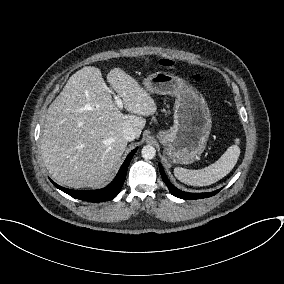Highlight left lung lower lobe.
Listing matches in <instances>:
<instances>
[{"label":"left lung lower lobe","instance_id":"left-lung-lower-lobe-1","mask_svg":"<svg viewBox=\"0 0 284 284\" xmlns=\"http://www.w3.org/2000/svg\"><path fill=\"white\" fill-rule=\"evenodd\" d=\"M159 170H160L163 181L167 185V187H168L169 191L172 193V195H174L178 198H181V199L193 200V199L207 198V197H211V196L217 194L222 189L221 188L219 190H216L214 192H209V193H188V192H184V191L177 189L174 185H172V183L168 180L167 176L165 175V172H164L161 164H159Z\"/></svg>","mask_w":284,"mask_h":284}]
</instances>
